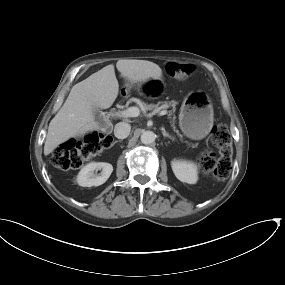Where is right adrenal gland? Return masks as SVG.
I'll use <instances>...</instances> for the list:
<instances>
[{
	"label": "right adrenal gland",
	"mask_w": 285,
	"mask_h": 285,
	"mask_svg": "<svg viewBox=\"0 0 285 285\" xmlns=\"http://www.w3.org/2000/svg\"><path fill=\"white\" fill-rule=\"evenodd\" d=\"M117 142H121V140H119V141L116 140L114 143H117Z\"/></svg>",
	"instance_id": "obj_1"
}]
</instances>
